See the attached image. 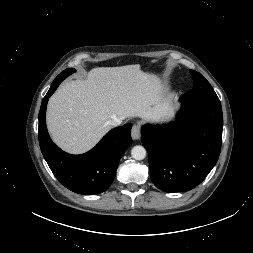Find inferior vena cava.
Instances as JSON below:
<instances>
[{
  "label": "inferior vena cava",
  "mask_w": 253,
  "mask_h": 253,
  "mask_svg": "<svg viewBox=\"0 0 253 253\" xmlns=\"http://www.w3.org/2000/svg\"><path fill=\"white\" fill-rule=\"evenodd\" d=\"M121 123H122V120L118 119V118H114V119H111L108 121V125L112 126V127H116V126L120 125Z\"/></svg>",
  "instance_id": "inferior-vena-cava-1"
}]
</instances>
